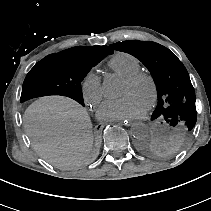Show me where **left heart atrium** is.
Returning a JSON list of instances; mask_svg holds the SVG:
<instances>
[{"label": "left heart atrium", "mask_w": 211, "mask_h": 211, "mask_svg": "<svg viewBox=\"0 0 211 211\" xmlns=\"http://www.w3.org/2000/svg\"><path fill=\"white\" fill-rule=\"evenodd\" d=\"M144 113L145 106L135 96L128 94L104 101L97 116L101 120H121L140 118Z\"/></svg>", "instance_id": "left-heart-atrium-1"}]
</instances>
